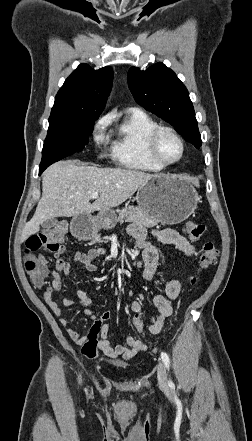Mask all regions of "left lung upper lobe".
Masks as SVG:
<instances>
[{
    "mask_svg": "<svg viewBox=\"0 0 252 441\" xmlns=\"http://www.w3.org/2000/svg\"><path fill=\"white\" fill-rule=\"evenodd\" d=\"M128 85L136 102L172 124L196 148L201 136L189 93L176 74L162 63L141 71L132 67Z\"/></svg>",
    "mask_w": 252,
    "mask_h": 441,
    "instance_id": "left-lung-upper-lobe-1",
    "label": "left lung upper lobe"
}]
</instances>
